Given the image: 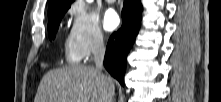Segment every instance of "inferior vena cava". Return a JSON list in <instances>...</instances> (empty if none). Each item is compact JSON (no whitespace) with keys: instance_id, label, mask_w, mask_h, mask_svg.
Listing matches in <instances>:
<instances>
[{"instance_id":"1","label":"inferior vena cava","mask_w":221,"mask_h":102,"mask_svg":"<svg viewBox=\"0 0 221 102\" xmlns=\"http://www.w3.org/2000/svg\"><path fill=\"white\" fill-rule=\"evenodd\" d=\"M92 54L93 60L96 65V69L102 70L104 68L103 61L105 56V47L103 42V36L100 33L96 34L94 37ZM110 102H112V100H110Z\"/></svg>"}]
</instances>
